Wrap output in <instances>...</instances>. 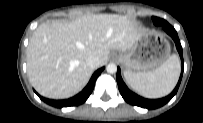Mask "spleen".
<instances>
[{"label":"spleen","mask_w":203,"mask_h":123,"mask_svg":"<svg viewBox=\"0 0 203 123\" xmlns=\"http://www.w3.org/2000/svg\"><path fill=\"white\" fill-rule=\"evenodd\" d=\"M180 74V61L171 55L160 67L148 72H124L132 89L147 98H159L169 94L175 87Z\"/></svg>","instance_id":"spleen-1"}]
</instances>
